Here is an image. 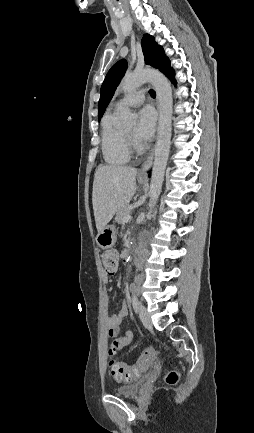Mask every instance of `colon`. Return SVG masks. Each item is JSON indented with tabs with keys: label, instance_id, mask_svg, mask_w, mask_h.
I'll return each mask as SVG.
<instances>
[{
	"label": "colon",
	"instance_id": "obj_1",
	"mask_svg": "<svg viewBox=\"0 0 254 433\" xmlns=\"http://www.w3.org/2000/svg\"><path fill=\"white\" fill-rule=\"evenodd\" d=\"M101 261L104 270L107 274H114L118 265V253L115 250H107L101 254ZM117 348L111 345L108 349L109 356L112 357L116 354ZM154 361V353L144 352L139 357L137 363L133 366H128L123 363L110 360L109 368L112 376L118 382H131L141 376V374L152 365ZM167 382L175 384L179 379V374L176 371H171L167 375Z\"/></svg>",
	"mask_w": 254,
	"mask_h": 433
}]
</instances>
